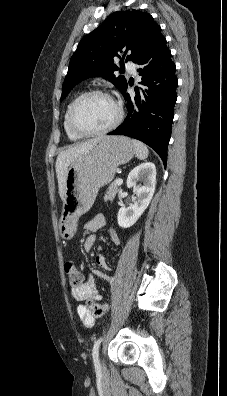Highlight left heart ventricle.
Instances as JSON below:
<instances>
[{
  "instance_id": "b2bd125f",
  "label": "left heart ventricle",
  "mask_w": 227,
  "mask_h": 396,
  "mask_svg": "<svg viewBox=\"0 0 227 396\" xmlns=\"http://www.w3.org/2000/svg\"><path fill=\"white\" fill-rule=\"evenodd\" d=\"M117 115L115 105L106 97L93 95L85 98L76 111V122L86 131H96L110 125Z\"/></svg>"
}]
</instances>
